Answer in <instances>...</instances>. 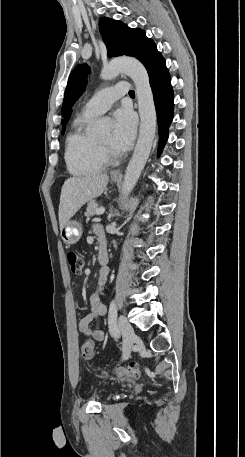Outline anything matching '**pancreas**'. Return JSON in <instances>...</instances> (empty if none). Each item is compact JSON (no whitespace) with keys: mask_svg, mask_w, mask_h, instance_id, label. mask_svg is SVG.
<instances>
[{"mask_svg":"<svg viewBox=\"0 0 245 457\" xmlns=\"http://www.w3.org/2000/svg\"><path fill=\"white\" fill-rule=\"evenodd\" d=\"M98 208V202L96 200H89L85 212V216H93V214H96V210Z\"/></svg>","mask_w":245,"mask_h":457,"instance_id":"1","label":"pancreas"}]
</instances>
